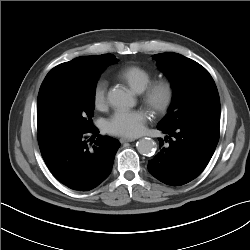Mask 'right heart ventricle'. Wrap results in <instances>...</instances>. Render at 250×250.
Masks as SVG:
<instances>
[{"label":"right heart ventricle","mask_w":250,"mask_h":250,"mask_svg":"<svg viewBox=\"0 0 250 250\" xmlns=\"http://www.w3.org/2000/svg\"><path fill=\"white\" fill-rule=\"evenodd\" d=\"M117 77L136 92H142L153 79V75L149 70L137 65L122 68Z\"/></svg>","instance_id":"obj_1"}]
</instances>
